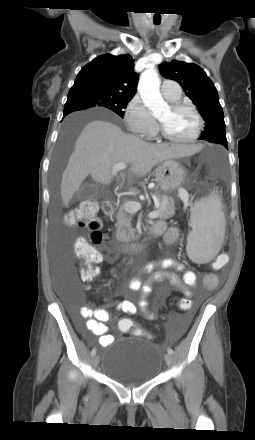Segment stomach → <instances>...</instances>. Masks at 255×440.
<instances>
[{
	"label": "stomach",
	"instance_id": "stomach-1",
	"mask_svg": "<svg viewBox=\"0 0 255 440\" xmlns=\"http://www.w3.org/2000/svg\"><path fill=\"white\" fill-rule=\"evenodd\" d=\"M185 169L176 160L163 161L156 169L155 180L163 191H173L184 182Z\"/></svg>",
	"mask_w": 255,
	"mask_h": 440
}]
</instances>
